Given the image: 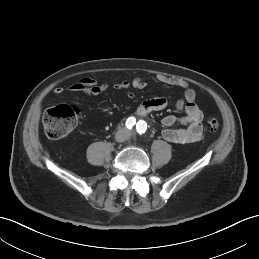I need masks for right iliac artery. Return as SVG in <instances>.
Returning a JSON list of instances; mask_svg holds the SVG:
<instances>
[{
    "label": "right iliac artery",
    "mask_w": 259,
    "mask_h": 259,
    "mask_svg": "<svg viewBox=\"0 0 259 259\" xmlns=\"http://www.w3.org/2000/svg\"><path fill=\"white\" fill-rule=\"evenodd\" d=\"M136 121L134 117H129L126 121V126L129 129H132V127L135 125Z\"/></svg>",
    "instance_id": "obj_1"
}]
</instances>
